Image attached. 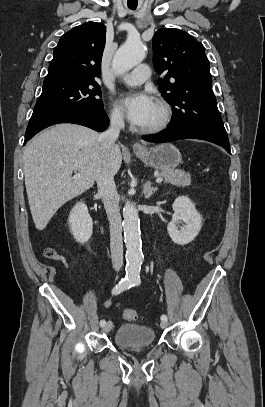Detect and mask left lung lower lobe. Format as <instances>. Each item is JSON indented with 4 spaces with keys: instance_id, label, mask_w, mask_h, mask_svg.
<instances>
[{
    "instance_id": "1",
    "label": "left lung lower lobe",
    "mask_w": 265,
    "mask_h": 407,
    "mask_svg": "<svg viewBox=\"0 0 265 407\" xmlns=\"http://www.w3.org/2000/svg\"><path fill=\"white\" fill-rule=\"evenodd\" d=\"M143 139L149 142H168L180 139H201L222 146L227 150L228 153H231L228 139L221 138L206 131L194 128H168V130L160 134L144 136Z\"/></svg>"
}]
</instances>
